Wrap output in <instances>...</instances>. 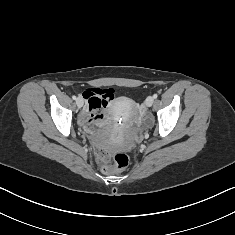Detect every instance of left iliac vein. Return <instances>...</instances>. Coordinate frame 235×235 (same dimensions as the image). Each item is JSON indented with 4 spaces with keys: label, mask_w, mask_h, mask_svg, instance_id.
I'll return each instance as SVG.
<instances>
[{
    "label": "left iliac vein",
    "mask_w": 235,
    "mask_h": 235,
    "mask_svg": "<svg viewBox=\"0 0 235 235\" xmlns=\"http://www.w3.org/2000/svg\"><path fill=\"white\" fill-rule=\"evenodd\" d=\"M153 102H154V98L152 96L147 97L145 100V104L147 107H151L153 105Z\"/></svg>",
    "instance_id": "4c4485c4"
}]
</instances>
